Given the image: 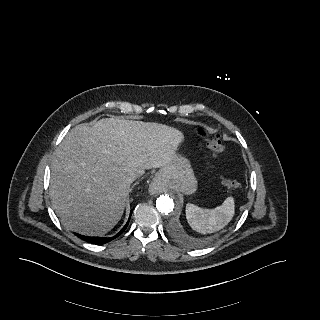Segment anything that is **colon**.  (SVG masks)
Here are the masks:
<instances>
[{"label": "colon", "mask_w": 320, "mask_h": 320, "mask_svg": "<svg viewBox=\"0 0 320 320\" xmlns=\"http://www.w3.org/2000/svg\"><path fill=\"white\" fill-rule=\"evenodd\" d=\"M199 134L208 139L209 147L215 154L222 153L223 145L220 137L217 134L210 136L204 129H199ZM221 183L229 189L238 188L240 186V183L238 181L225 176L221 177Z\"/></svg>", "instance_id": "1"}]
</instances>
